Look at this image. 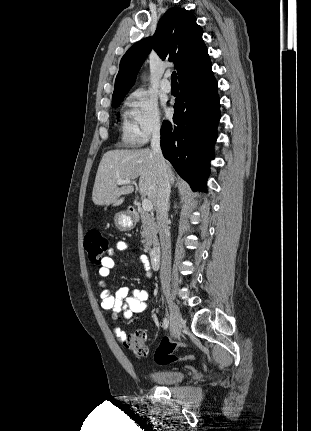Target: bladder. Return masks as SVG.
Listing matches in <instances>:
<instances>
[{
  "mask_svg": "<svg viewBox=\"0 0 311 431\" xmlns=\"http://www.w3.org/2000/svg\"><path fill=\"white\" fill-rule=\"evenodd\" d=\"M186 377L185 371L178 368L153 370L147 374V378L154 383L173 385L182 382Z\"/></svg>",
  "mask_w": 311,
  "mask_h": 431,
  "instance_id": "obj_1",
  "label": "bladder"
}]
</instances>
